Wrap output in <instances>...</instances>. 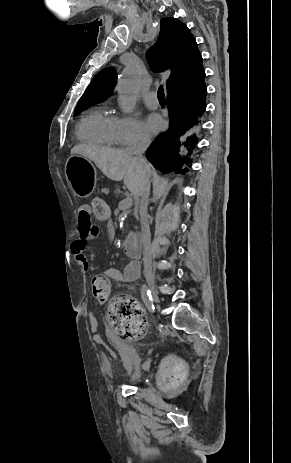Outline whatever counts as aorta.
Here are the masks:
<instances>
[{"mask_svg": "<svg viewBox=\"0 0 291 463\" xmlns=\"http://www.w3.org/2000/svg\"><path fill=\"white\" fill-rule=\"evenodd\" d=\"M140 87V69L137 64L127 66L118 83L119 105L125 113L135 109Z\"/></svg>", "mask_w": 291, "mask_h": 463, "instance_id": "aorta-1", "label": "aorta"}]
</instances>
